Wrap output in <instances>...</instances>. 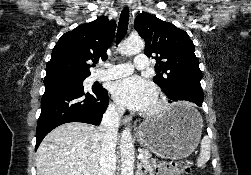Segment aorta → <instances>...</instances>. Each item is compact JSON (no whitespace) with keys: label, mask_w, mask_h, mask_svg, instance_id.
I'll use <instances>...</instances> for the list:
<instances>
[{"label":"aorta","mask_w":251,"mask_h":175,"mask_svg":"<svg viewBox=\"0 0 251 175\" xmlns=\"http://www.w3.org/2000/svg\"><path fill=\"white\" fill-rule=\"evenodd\" d=\"M144 40L141 38H128L119 44V52L123 56L139 54L144 50ZM121 175H134V143L130 127H125L121 133L120 141Z\"/></svg>","instance_id":"1"}]
</instances>
